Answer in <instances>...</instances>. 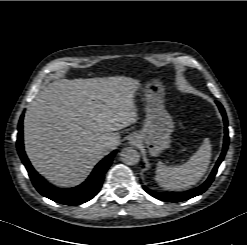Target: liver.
Here are the masks:
<instances>
[{
  "mask_svg": "<svg viewBox=\"0 0 247 245\" xmlns=\"http://www.w3.org/2000/svg\"><path fill=\"white\" fill-rule=\"evenodd\" d=\"M139 82L124 76L57 79L29 103L24 117L25 151L50 183L83 182L109 152L108 140L136 121L134 95Z\"/></svg>",
  "mask_w": 247,
  "mask_h": 245,
  "instance_id": "1",
  "label": "liver"
}]
</instances>
